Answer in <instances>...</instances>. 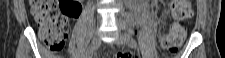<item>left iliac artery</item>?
<instances>
[{"label":"left iliac artery","mask_w":225,"mask_h":58,"mask_svg":"<svg viewBox=\"0 0 225 58\" xmlns=\"http://www.w3.org/2000/svg\"><path fill=\"white\" fill-rule=\"evenodd\" d=\"M127 37H128V42H129L130 47H132V48L136 47L135 40L130 35H127Z\"/></svg>","instance_id":"1"}]
</instances>
